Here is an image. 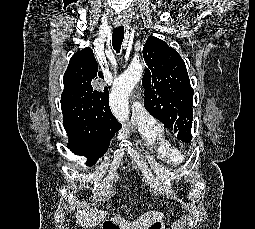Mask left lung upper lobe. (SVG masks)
<instances>
[{
  "label": "left lung upper lobe",
  "instance_id": "obj_1",
  "mask_svg": "<svg viewBox=\"0 0 255 229\" xmlns=\"http://www.w3.org/2000/svg\"><path fill=\"white\" fill-rule=\"evenodd\" d=\"M148 66L142 79L144 106L183 142L192 140L194 91L179 53L167 43L149 36L143 48Z\"/></svg>",
  "mask_w": 255,
  "mask_h": 229
}]
</instances>
